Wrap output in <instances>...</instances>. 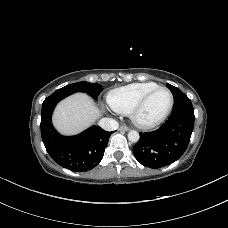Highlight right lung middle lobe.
Here are the masks:
<instances>
[{
	"instance_id": "1",
	"label": "right lung middle lobe",
	"mask_w": 228,
	"mask_h": 228,
	"mask_svg": "<svg viewBox=\"0 0 228 228\" xmlns=\"http://www.w3.org/2000/svg\"><path fill=\"white\" fill-rule=\"evenodd\" d=\"M101 91H102V85L97 83H89V82L82 81V82L70 84L61 89H58L57 91L54 92V94L68 96L75 92H85L88 95H90L92 98L96 99Z\"/></svg>"
}]
</instances>
